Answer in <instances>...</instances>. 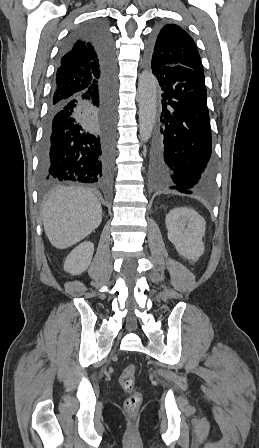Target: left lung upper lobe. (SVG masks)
Masks as SVG:
<instances>
[{
    "instance_id": "1",
    "label": "left lung upper lobe",
    "mask_w": 259,
    "mask_h": 448,
    "mask_svg": "<svg viewBox=\"0 0 259 448\" xmlns=\"http://www.w3.org/2000/svg\"><path fill=\"white\" fill-rule=\"evenodd\" d=\"M147 59L154 67L179 65L204 73L194 40L175 24L159 28L150 42Z\"/></svg>"
}]
</instances>
